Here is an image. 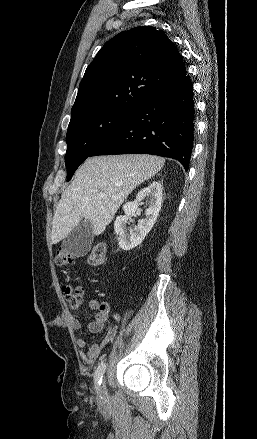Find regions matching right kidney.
Instances as JSON below:
<instances>
[{"instance_id": "obj_1", "label": "right kidney", "mask_w": 257, "mask_h": 439, "mask_svg": "<svg viewBox=\"0 0 257 439\" xmlns=\"http://www.w3.org/2000/svg\"><path fill=\"white\" fill-rule=\"evenodd\" d=\"M146 199L149 207L145 211V219H142L135 230L127 232L126 224L137 210L142 201ZM162 204V185L158 181H153L147 187L143 188L136 195L133 202H127L123 206L125 215L118 216L114 222V230L118 236V245L123 250L129 251L140 245L146 235L154 226Z\"/></svg>"}]
</instances>
